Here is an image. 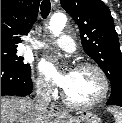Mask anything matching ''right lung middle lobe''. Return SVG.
Segmentation results:
<instances>
[{
	"label": "right lung middle lobe",
	"mask_w": 122,
	"mask_h": 123,
	"mask_svg": "<svg viewBox=\"0 0 122 123\" xmlns=\"http://www.w3.org/2000/svg\"><path fill=\"white\" fill-rule=\"evenodd\" d=\"M16 49H1V62L23 71H31L29 64L23 63V58L16 55Z\"/></svg>",
	"instance_id": "right-lung-middle-lobe-1"
}]
</instances>
